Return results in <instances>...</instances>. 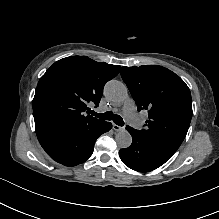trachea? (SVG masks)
Listing matches in <instances>:
<instances>
[{"mask_svg":"<svg viewBox=\"0 0 219 219\" xmlns=\"http://www.w3.org/2000/svg\"><path fill=\"white\" fill-rule=\"evenodd\" d=\"M90 113L97 118L103 119V120H113V122L119 126H124V121L119 115H114L111 111H107L103 114L96 113L93 110H90Z\"/></svg>","mask_w":219,"mask_h":219,"instance_id":"trachea-1","label":"trachea"}]
</instances>
